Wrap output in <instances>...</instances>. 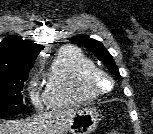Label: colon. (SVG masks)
<instances>
[{"label":"colon","instance_id":"colon-1","mask_svg":"<svg viewBox=\"0 0 153 134\" xmlns=\"http://www.w3.org/2000/svg\"><path fill=\"white\" fill-rule=\"evenodd\" d=\"M107 134H121V133H119L117 131H111V132H108Z\"/></svg>","mask_w":153,"mask_h":134}]
</instances>
